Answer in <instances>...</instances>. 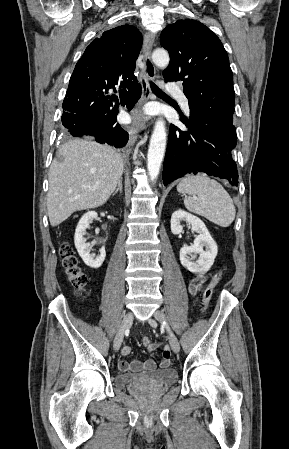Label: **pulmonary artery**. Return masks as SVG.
<instances>
[{"mask_svg": "<svg viewBox=\"0 0 289 449\" xmlns=\"http://www.w3.org/2000/svg\"><path fill=\"white\" fill-rule=\"evenodd\" d=\"M173 93L177 97V99L180 102L182 108L186 112H189V104H188V100H187L185 94L181 90H179V89H174Z\"/></svg>", "mask_w": 289, "mask_h": 449, "instance_id": "e3ab8cb5", "label": "pulmonary artery"}]
</instances>
